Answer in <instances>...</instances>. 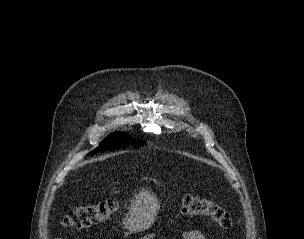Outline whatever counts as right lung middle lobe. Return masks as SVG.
<instances>
[{
	"instance_id": "1",
	"label": "right lung middle lobe",
	"mask_w": 304,
	"mask_h": 239,
	"mask_svg": "<svg viewBox=\"0 0 304 239\" xmlns=\"http://www.w3.org/2000/svg\"><path fill=\"white\" fill-rule=\"evenodd\" d=\"M144 144H145L144 141H136L126 133L116 132L109 135L105 140H103L99 148L90 152L89 155L96 154L106 150L125 148L127 146H133L134 148H138Z\"/></svg>"
}]
</instances>
